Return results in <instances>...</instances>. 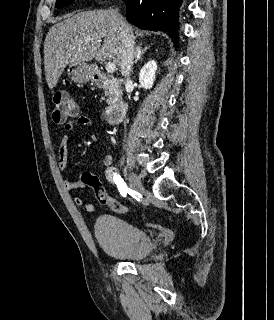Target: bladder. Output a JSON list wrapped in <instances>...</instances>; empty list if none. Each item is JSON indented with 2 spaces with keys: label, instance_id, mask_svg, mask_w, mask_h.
Returning a JSON list of instances; mask_svg holds the SVG:
<instances>
[{
  "label": "bladder",
  "instance_id": "1",
  "mask_svg": "<svg viewBox=\"0 0 274 320\" xmlns=\"http://www.w3.org/2000/svg\"><path fill=\"white\" fill-rule=\"evenodd\" d=\"M94 234L106 254L124 261H140L149 256L155 247L145 229L113 215L98 217Z\"/></svg>",
  "mask_w": 274,
  "mask_h": 320
}]
</instances>
